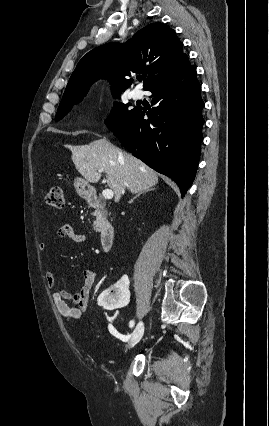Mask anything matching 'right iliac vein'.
I'll return each mask as SVG.
<instances>
[{"label": "right iliac vein", "mask_w": 269, "mask_h": 426, "mask_svg": "<svg viewBox=\"0 0 269 426\" xmlns=\"http://www.w3.org/2000/svg\"><path fill=\"white\" fill-rule=\"evenodd\" d=\"M144 333V323L140 321L132 332L128 347L133 348L142 338Z\"/></svg>", "instance_id": "1"}]
</instances>
